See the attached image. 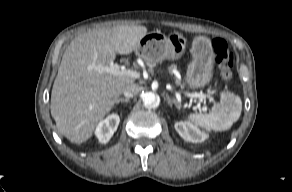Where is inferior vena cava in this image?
<instances>
[{
  "instance_id": "obj_1",
  "label": "inferior vena cava",
  "mask_w": 292,
  "mask_h": 192,
  "mask_svg": "<svg viewBox=\"0 0 292 192\" xmlns=\"http://www.w3.org/2000/svg\"><path fill=\"white\" fill-rule=\"evenodd\" d=\"M139 90L140 88L137 84L135 83L127 84L125 88L123 89V95L126 98H132L139 92Z\"/></svg>"
}]
</instances>
